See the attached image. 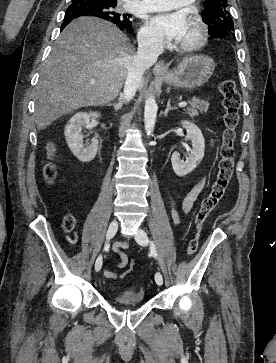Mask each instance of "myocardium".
Listing matches in <instances>:
<instances>
[{
    "label": "myocardium",
    "instance_id": "myocardium-1",
    "mask_svg": "<svg viewBox=\"0 0 276 363\" xmlns=\"http://www.w3.org/2000/svg\"><path fill=\"white\" fill-rule=\"evenodd\" d=\"M190 19L196 26L197 36L191 42L177 45L178 50L184 53H192L201 49L205 45L208 36L207 26L200 15L191 12Z\"/></svg>",
    "mask_w": 276,
    "mask_h": 363
}]
</instances>
